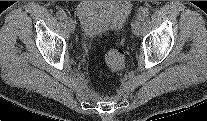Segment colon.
Segmentation results:
<instances>
[{
	"label": "colon",
	"mask_w": 207,
	"mask_h": 121,
	"mask_svg": "<svg viewBox=\"0 0 207 121\" xmlns=\"http://www.w3.org/2000/svg\"><path fill=\"white\" fill-rule=\"evenodd\" d=\"M105 62L112 72H119L124 68V52L118 48H110L105 52Z\"/></svg>",
	"instance_id": "1"
}]
</instances>
